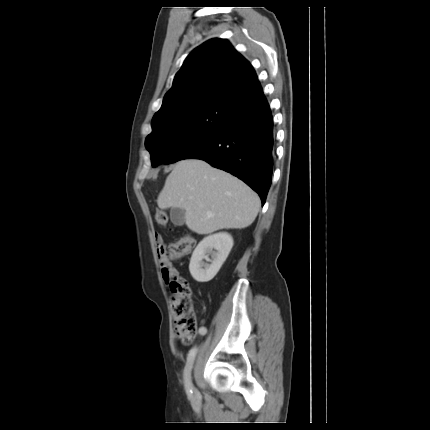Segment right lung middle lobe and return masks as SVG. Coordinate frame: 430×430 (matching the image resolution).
Instances as JSON below:
<instances>
[{"instance_id": "right-lung-middle-lobe-1", "label": "right lung middle lobe", "mask_w": 430, "mask_h": 430, "mask_svg": "<svg viewBox=\"0 0 430 430\" xmlns=\"http://www.w3.org/2000/svg\"><path fill=\"white\" fill-rule=\"evenodd\" d=\"M231 109L220 101H207L152 123L145 141L152 166L184 159L222 131Z\"/></svg>"}]
</instances>
